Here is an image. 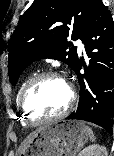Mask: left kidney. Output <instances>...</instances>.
Segmentation results:
<instances>
[{
  "mask_svg": "<svg viewBox=\"0 0 114 156\" xmlns=\"http://www.w3.org/2000/svg\"><path fill=\"white\" fill-rule=\"evenodd\" d=\"M78 156H108V153L105 147L96 144L84 148Z\"/></svg>",
  "mask_w": 114,
  "mask_h": 156,
  "instance_id": "1",
  "label": "left kidney"
}]
</instances>
